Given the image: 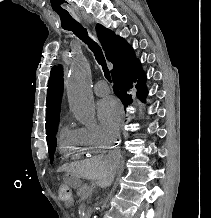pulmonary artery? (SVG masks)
I'll return each instance as SVG.
<instances>
[{
	"label": "pulmonary artery",
	"mask_w": 211,
	"mask_h": 218,
	"mask_svg": "<svg viewBox=\"0 0 211 218\" xmlns=\"http://www.w3.org/2000/svg\"><path fill=\"white\" fill-rule=\"evenodd\" d=\"M94 91L98 96H106L110 93V88L105 80H100L95 84Z\"/></svg>",
	"instance_id": "obj_1"
}]
</instances>
